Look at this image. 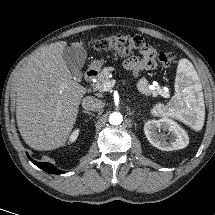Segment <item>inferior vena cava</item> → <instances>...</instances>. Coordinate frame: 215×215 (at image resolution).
<instances>
[{
	"label": "inferior vena cava",
	"mask_w": 215,
	"mask_h": 215,
	"mask_svg": "<svg viewBox=\"0 0 215 215\" xmlns=\"http://www.w3.org/2000/svg\"><path fill=\"white\" fill-rule=\"evenodd\" d=\"M82 107L86 110L99 111L104 107V103L93 96H87L82 101Z\"/></svg>",
	"instance_id": "602c4592"
}]
</instances>
